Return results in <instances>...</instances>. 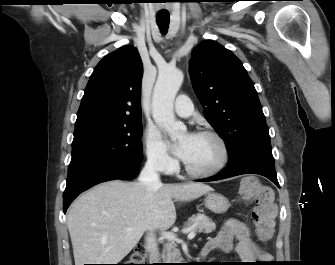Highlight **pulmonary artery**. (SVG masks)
Returning a JSON list of instances; mask_svg holds the SVG:
<instances>
[{
  "label": "pulmonary artery",
  "instance_id": "1",
  "mask_svg": "<svg viewBox=\"0 0 335 265\" xmlns=\"http://www.w3.org/2000/svg\"><path fill=\"white\" fill-rule=\"evenodd\" d=\"M175 112L182 117H188L193 112V106L186 95H179L174 104Z\"/></svg>",
  "mask_w": 335,
  "mask_h": 265
}]
</instances>
